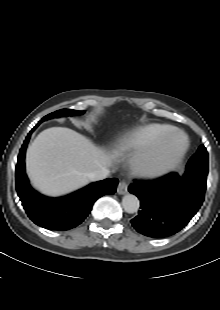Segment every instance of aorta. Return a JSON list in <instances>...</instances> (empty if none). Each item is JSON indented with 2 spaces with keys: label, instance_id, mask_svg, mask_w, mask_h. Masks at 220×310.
<instances>
[{
  "label": "aorta",
  "instance_id": "aorta-1",
  "mask_svg": "<svg viewBox=\"0 0 220 310\" xmlns=\"http://www.w3.org/2000/svg\"><path fill=\"white\" fill-rule=\"evenodd\" d=\"M122 206L127 213L133 214L138 211L140 202L135 195L127 194L122 199Z\"/></svg>",
  "mask_w": 220,
  "mask_h": 310
}]
</instances>
